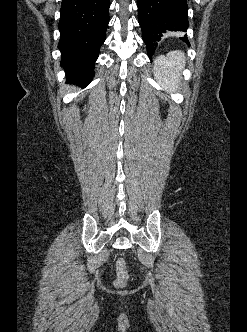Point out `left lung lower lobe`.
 Returning <instances> with one entry per match:
<instances>
[{
	"label": "left lung lower lobe",
	"instance_id": "1",
	"mask_svg": "<svg viewBox=\"0 0 247 332\" xmlns=\"http://www.w3.org/2000/svg\"><path fill=\"white\" fill-rule=\"evenodd\" d=\"M137 5L138 21L149 57L167 30L186 31L189 27L186 0H138ZM181 40L188 43L186 35Z\"/></svg>",
	"mask_w": 247,
	"mask_h": 332
}]
</instances>
